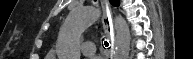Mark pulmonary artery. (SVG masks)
<instances>
[{"mask_svg": "<svg viewBox=\"0 0 193 59\" xmlns=\"http://www.w3.org/2000/svg\"><path fill=\"white\" fill-rule=\"evenodd\" d=\"M82 52L86 56H91L96 52V46L91 41H86L82 44Z\"/></svg>", "mask_w": 193, "mask_h": 59, "instance_id": "1", "label": "pulmonary artery"}]
</instances>
